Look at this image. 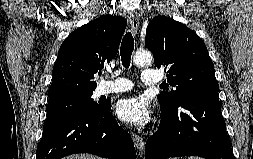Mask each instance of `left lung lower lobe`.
<instances>
[{"label":"left lung lower lobe","mask_w":253,"mask_h":159,"mask_svg":"<svg viewBox=\"0 0 253 159\" xmlns=\"http://www.w3.org/2000/svg\"><path fill=\"white\" fill-rule=\"evenodd\" d=\"M180 156L235 159L219 101L191 100L172 111L161 108L160 126L147 140L145 159Z\"/></svg>","instance_id":"0a47b994"}]
</instances>
